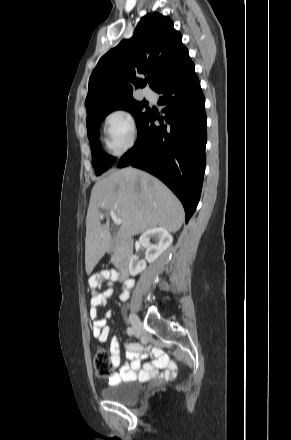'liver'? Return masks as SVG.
Wrapping results in <instances>:
<instances>
[{
	"instance_id": "obj_1",
	"label": "liver",
	"mask_w": 291,
	"mask_h": 440,
	"mask_svg": "<svg viewBox=\"0 0 291 440\" xmlns=\"http://www.w3.org/2000/svg\"><path fill=\"white\" fill-rule=\"evenodd\" d=\"M121 219L117 237L129 239L157 226L175 233L184 221L181 202L154 176L132 167L113 171L93 186L86 217L85 266L90 274L109 247V220L101 225L99 209Z\"/></svg>"
}]
</instances>
